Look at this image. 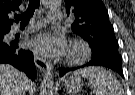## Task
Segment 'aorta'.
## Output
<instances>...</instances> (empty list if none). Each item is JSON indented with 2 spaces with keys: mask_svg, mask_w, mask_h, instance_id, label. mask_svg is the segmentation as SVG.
I'll return each instance as SVG.
<instances>
[{
  "mask_svg": "<svg viewBox=\"0 0 135 95\" xmlns=\"http://www.w3.org/2000/svg\"><path fill=\"white\" fill-rule=\"evenodd\" d=\"M61 0H43L47 7H57ZM40 95H54V81L50 70H46L40 87Z\"/></svg>",
  "mask_w": 135,
  "mask_h": 95,
  "instance_id": "aorta-1",
  "label": "aorta"
}]
</instances>
